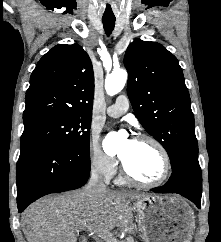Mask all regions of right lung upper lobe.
<instances>
[{"label": "right lung upper lobe", "instance_id": "obj_1", "mask_svg": "<svg viewBox=\"0 0 221 242\" xmlns=\"http://www.w3.org/2000/svg\"><path fill=\"white\" fill-rule=\"evenodd\" d=\"M93 97L94 72L88 54L78 44L56 45L31 74L24 126L52 118L91 117Z\"/></svg>", "mask_w": 221, "mask_h": 242}]
</instances>
